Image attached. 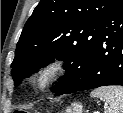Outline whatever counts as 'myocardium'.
<instances>
[{"instance_id":"myocardium-1","label":"myocardium","mask_w":123,"mask_h":113,"mask_svg":"<svg viewBox=\"0 0 123 113\" xmlns=\"http://www.w3.org/2000/svg\"><path fill=\"white\" fill-rule=\"evenodd\" d=\"M64 61L56 58L43 62L34 71L31 82L38 91L45 90L55 80H57L63 71Z\"/></svg>"}]
</instances>
